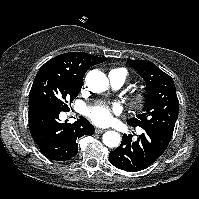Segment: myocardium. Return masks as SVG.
Returning a JSON list of instances; mask_svg holds the SVG:
<instances>
[{
  "label": "myocardium",
  "mask_w": 199,
  "mask_h": 199,
  "mask_svg": "<svg viewBox=\"0 0 199 199\" xmlns=\"http://www.w3.org/2000/svg\"><path fill=\"white\" fill-rule=\"evenodd\" d=\"M147 103V94L144 91L136 92L130 101V105L135 110H142Z\"/></svg>",
  "instance_id": "f54148a6"
}]
</instances>
